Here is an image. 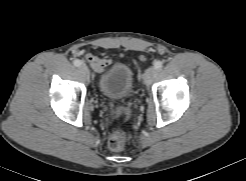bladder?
I'll use <instances>...</instances> for the list:
<instances>
[{
  "label": "bladder",
  "mask_w": 246,
  "mask_h": 181,
  "mask_svg": "<svg viewBox=\"0 0 246 181\" xmlns=\"http://www.w3.org/2000/svg\"><path fill=\"white\" fill-rule=\"evenodd\" d=\"M97 86L99 92L108 99L128 98L134 86L133 72L125 63L116 62L100 74Z\"/></svg>",
  "instance_id": "1"
}]
</instances>
